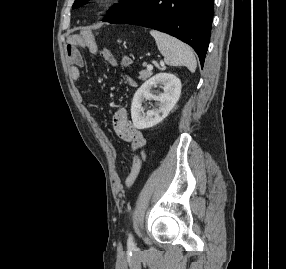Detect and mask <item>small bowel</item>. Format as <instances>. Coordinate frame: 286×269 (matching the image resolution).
Returning a JSON list of instances; mask_svg holds the SVG:
<instances>
[{"label": "small bowel", "mask_w": 286, "mask_h": 269, "mask_svg": "<svg viewBox=\"0 0 286 269\" xmlns=\"http://www.w3.org/2000/svg\"><path fill=\"white\" fill-rule=\"evenodd\" d=\"M84 46L88 51L96 53L98 51L97 46L92 40H83V42L76 39H70L66 48L68 60L70 62V78L77 81L81 76V68L84 66V59L80 54L79 47ZM100 55L103 61L110 66H118L119 63L114 54L107 50L102 49ZM88 120L90 125L95 131L104 139L106 144L111 148L112 160L116 161L117 155L115 150L111 147L110 142L104 137L102 131L99 128L97 120L89 113ZM113 127L119 137L131 147V170L125 180V186L131 187L137 179V176L141 170L143 163L146 161L147 155L144 150L146 145V139L139 129L133 127L128 116V111L125 107L117 109L113 115Z\"/></svg>", "instance_id": "small-bowel-1"}]
</instances>
